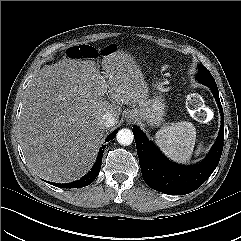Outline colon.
Returning a JSON list of instances; mask_svg holds the SVG:
<instances>
[{
	"mask_svg": "<svg viewBox=\"0 0 241 241\" xmlns=\"http://www.w3.org/2000/svg\"><path fill=\"white\" fill-rule=\"evenodd\" d=\"M111 48H106L102 51L103 54L108 53ZM98 52L91 46L83 45L73 47L68 50L67 56L69 58H94ZM187 108L192 115L200 121L209 119V109L205 106L202 97L198 94H191L187 99Z\"/></svg>",
	"mask_w": 241,
	"mask_h": 241,
	"instance_id": "obj_1",
	"label": "colon"
}]
</instances>
